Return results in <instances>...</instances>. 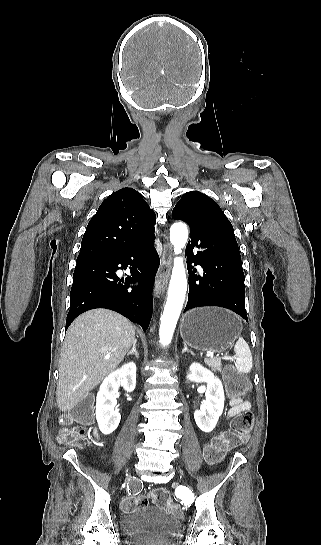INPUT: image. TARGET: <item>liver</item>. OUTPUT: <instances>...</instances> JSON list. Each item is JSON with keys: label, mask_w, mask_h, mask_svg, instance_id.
<instances>
[{"label": "liver", "mask_w": 321, "mask_h": 545, "mask_svg": "<svg viewBox=\"0 0 321 545\" xmlns=\"http://www.w3.org/2000/svg\"><path fill=\"white\" fill-rule=\"evenodd\" d=\"M134 339L133 325L114 311L93 309L77 317L66 333L59 361L60 411H72L117 369Z\"/></svg>", "instance_id": "liver-1"}]
</instances>
